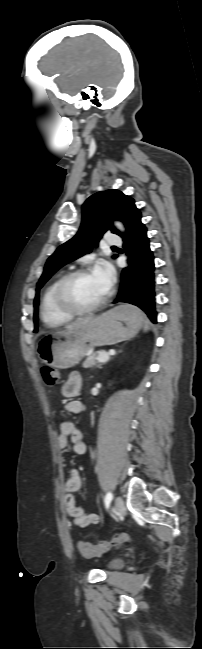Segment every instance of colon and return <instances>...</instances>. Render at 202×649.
Returning a JSON list of instances; mask_svg holds the SVG:
<instances>
[{"instance_id":"obj_1","label":"colon","mask_w":202,"mask_h":649,"mask_svg":"<svg viewBox=\"0 0 202 649\" xmlns=\"http://www.w3.org/2000/svg\"><path fill=\"white\" fill-rule=\"evenodd\" d=\"M40 374L44 383L47 386L52 387L60 383V374L58 370L52 367L43 366L40 370ZM125 540H126L125 534H117L114 538L110 540H102L97 544L80 542L78 548L83 557L91 558L105 552L115 544L123 543Z\"/></svg>"}]
</instances>
